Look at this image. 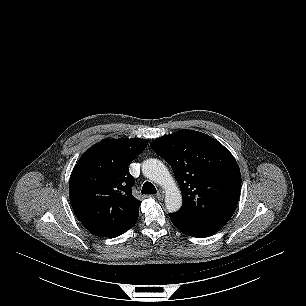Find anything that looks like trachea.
Wrapping results in <instances>:
<instances>
[{
	"instance_id": "trachea-1",
	"label": "trachea",
	"mask_w": 306,
	"mask_h": 306,
	"mask_svg": "<svg viewBox=\"0 0 306 306\" xmlns=\"http://www.w3.org/2000/svg\"><path fill=\"white\" fill-rule=\"evenodd\" d=\"M156 192H157V190L151 182H145L143 184L141 193H143V194H155Z\"/></svg>"
}]
</instances>
